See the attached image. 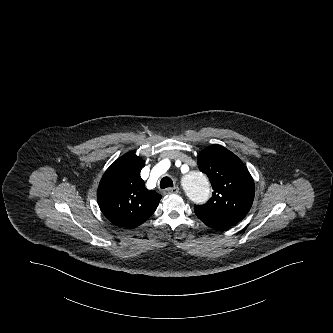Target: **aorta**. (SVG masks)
Here are the masks:
<instances>
[{
  "label": "aorta",
  "mask_w": 333,
  "mask_h": 333,
  "mask_svg": "<svg viewBox=\"0 0 333 333\" xmlns=\"http://www.w3.org/2000/svg\"><path fill=\"white\" fill-rule=\"evenodd\" d=\"M183 187L194 204L206 203L211 197V185L207 175L199 170H191L185 175Z\"/></svg>",
  "instance_id": "obj_1"
}]
</instances>
